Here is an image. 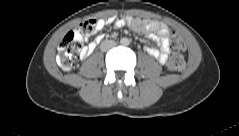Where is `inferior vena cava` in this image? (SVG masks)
Returning <instances> with one entry per match:
<instances>
[{
  "mask_svg": "<svg viewBox=\"0 0 239 136\" xmlns=\"http://www.w3.org/2000/svg\"><path fill=\"white\" fill-rule=\"evenodd\" d=\"M116 45V43L112 40H107L101 43V50L102 51H106L112 47H114Z\"/></svg>",
  "mask_w": 239,
  "mask_h": 136,
  "instance_id": "1",
  "label": "inferior vena cava"
}]
</instances>
